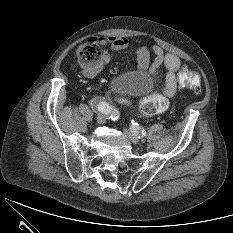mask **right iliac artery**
Returning a JSON list of instances; mask_svg holds the SVG:
<instances>
[{
  "instance_id": "82829eb1",
  "label": "right iliac artery",
  "mask_w": 233,
  "mask_h": 233,
  "mask_svg": "<svg viewBox=\"0 0 233 233\" xmlns=\"http://www.w3.org/2000/svg\"><path fill=\"white\" fill-rule=\"evenodd\" d=\"M92 108L98 109V111L107 114L109 118L115 120L118 118L119 113L115 107L107 102L104 98L95 97L91 100Z\"/></svg>"
}]
</instances>
